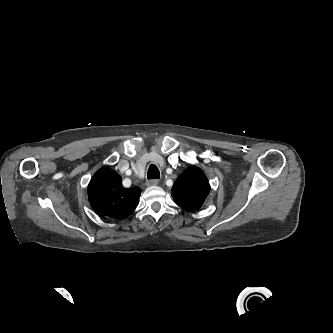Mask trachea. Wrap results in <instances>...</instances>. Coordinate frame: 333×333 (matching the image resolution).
Here are the masks:
<instances>
[{
    "label": "trachea",
    "instance_id": "3493384b",
    "mask_svg": "<svg viewBox=\"0 0 333 333\" xmlns=\"http://www.w3.org/2000/svg\"><path fill=\"white\" fill-rule=\"evenodd\" d=\"M148 179H158L160 178V172L159 169L155 165H150L148 169V174H147Z\"/></svg>",
    "mask_w": 333,
    "mask_h": 333
}]
</instances>
